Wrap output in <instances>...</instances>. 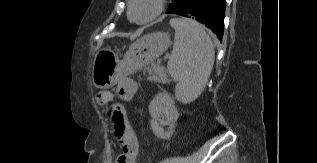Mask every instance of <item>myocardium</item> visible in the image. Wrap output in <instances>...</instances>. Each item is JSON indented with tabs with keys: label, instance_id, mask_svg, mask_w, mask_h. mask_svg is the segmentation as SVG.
Instances as JSON below:
<instances>
[{
	"label": "myocardium",
	"instance_id": "myocardium-1",
	"mask_svg": "<svg viewBox=\"0 0 317 163\" xmlns=\"http://www.w3.org/2000/svg\"><path fill=\"white\" fill-rule=\"evenodd\" d=\"M134 1L135 0H128V12L127 13H128L129 19L132 22H134L136 24H140V25L148 24V23L154 21L155 19H157L162 14L164 7H165V0H155L154 12L146 19L136 20L132 16V8H133Z\"/></svg>",
	"mask_w": 317,
	"mask_h": 163
}]
</instances>
